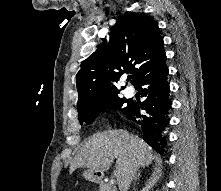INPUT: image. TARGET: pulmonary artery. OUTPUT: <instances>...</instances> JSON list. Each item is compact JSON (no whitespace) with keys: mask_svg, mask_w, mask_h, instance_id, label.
<instances>
[{"mask_svg":"<svg viewBox=\"0 0 221 191\" xmlns=\"http://www.w3.org/2000/svg\"><path fill=\"white\" fill-rule=\"evenodd\" d=\"M124 94L127 98H131L134 96V90L131 87H127L124 91Z\"/></svg>","mask_w":221,"mask_h":191,"instance_id":"obj_1","label":"pulmonary artery"}]
</instances>
